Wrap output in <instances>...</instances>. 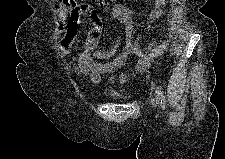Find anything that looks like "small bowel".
Returning a JSON list of instances; mask_svg holds the SVG:
<instances>
[{
  "label": "small bowel",
  "instance_id": "1",
  "mask_svg": "<svg viewBox=\"0 0 225 159\" xmlns=\"http://www.w3.org/2000/svg\"><path fill=\"white\" fill-rule=\"evenodd\" d=\"M163 2L156 3L152 13L153 18H157L162 13ZM112 15L122 24L123 31L116 42L107 50L97 49L102 32V21L94 7L90 5L68 4L58 7L55 10V30L54 38H60L58 50L62 55L67 54L77 38L81 17L87 16L92 27L88 31L83 50L79 57L81 66L77 73L85 74L98 84L105 74L114 73L130 55L138 57L135 66L118 76L122 82L128 81L133 75L144 73L149 67L150 61L162 55L168 48V41L153 42L144 51L139 46V38L134 36L133 21L131 12L124 6L116 4L111 7ZM125 39L123 53L115 57L122 40ZM115 76H111L109 81H114Z\"/></svg>",
  "mask_w": 225,
  "mask_h": 159
}]
</instances>
